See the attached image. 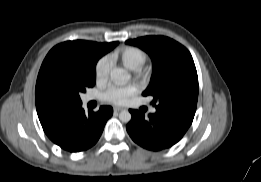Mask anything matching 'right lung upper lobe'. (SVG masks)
<instances>
[{
    "instance_id": "cb5924a9",
    "label": "right lung upper lobe",
    "mask_w": 261,
    "mask_h": 182,
    "mask_svg": "<svg viewBox=\"0 0 261 182\" xmlns=\"http://www.w3.org/2000/svg\"><path fill=\"white\" fill-rule=\"evenodd\" d=\"M118 42L97 43L84 40L67 41L56 45L49 54H58L63 56H81L86 52L99 50L104 54L112 50ZM102 55V56H103ZM36 109L40 122L45 121L54 114L58 109L67 104L45 93L36 83L35 90Z\"/></svg>"
}]
</instances>
